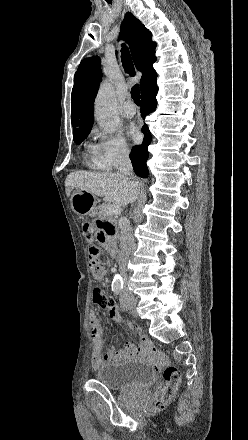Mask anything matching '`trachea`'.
<instances>
[{
    "instance_id": "trachea-1",
    "label": "trachea",
    "mask_w": 248,
    "mask_h": 440,
    "mask_svg": "<svg viewBox=\"0 0 248 440\" xmlns=\"http://www.w3.org/2000/svg\"><path fill=\"white\" fill-rule=\"evenodd\" d=\"M122 55V64H123V68L125 70L126 73H128L131 76H135V69H134V65H133V61L131 58V55L129 53V50L127 47H125L123 45L122 49H121ZM131 96L132 99L134 100V102L139 105L140 103V91H139V85L136 84L132 87L131 89Z\"/></svg>"
}]
</instances>
